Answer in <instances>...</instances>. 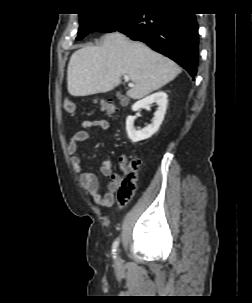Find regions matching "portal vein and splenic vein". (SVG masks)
<instances>
[{"label": "portal vein and splenic vein", "instance_id": "portal-vein-and-splenic-vein-1", "mask_svg": "<svg viewBox=\"0 0 252 303\" xmlns=\"http://www.w3.org/2000/svg\"><path fill=\"white\" fill-rule=\"evenodd\" d=\"M124 80L126 81V82H128L129 81V77L128 76H124ZM129 86L130 87H134V84H129Z\"/></svg>", "mask_w": 252, "mask_h": 303}]
</instances>
